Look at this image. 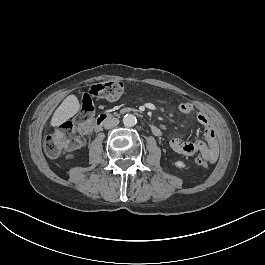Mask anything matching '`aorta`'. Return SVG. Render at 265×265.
Here are the masks:
<instances>
[{"label":"aorta","mask_w":265,"mask_h":265,"mask_svg":"<svg viewBox=\"0 0 265 265\" xmlns=\"http://www.w3.org/2000/svg\"><path fill=\"white\" fill-rule=\"evenodd\" d=\"M137 123V119L133 114H126L123 117V124L127 127H133Z\"/></svg>","instance_id":"aorta-1"}]
</instances>
